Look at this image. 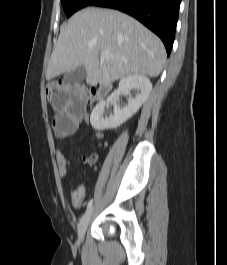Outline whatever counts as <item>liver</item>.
I'll use <instances>...</instances> for the list:
<instances>
[{
	"label": "liver",
	"mask_w": 227,
	"mask_h": 265,
	"mask_svg": "<svg viewBox=\"0 0 227 265\" xmlns=\"http://www.w3.org/2000/svg\"><path fill=\"white\" fill-rule=\"evenodd\" d=\"M102 51L112 57L100 60ZM165 59L162 41L136 19L115 10L86 8L61 27L46 80L82 66L90 86L132 74L157 77Z\"/></svg>",
	"instance_id": "1"
}]
</instances>
